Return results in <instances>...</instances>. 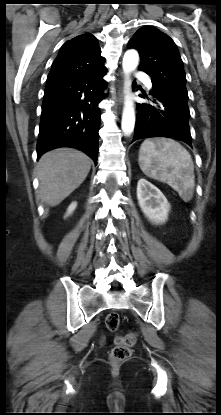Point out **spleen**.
Listing matches in <instances>:
<instances>
[{
  "label": "spleen",
  "mask_w": 221,
  "mask_h": 415,
  "mask_svg": "<svg viewBox=\"0 0 221 415\" xmlns=\"http://www.w3.org/2000/svg\"><path fill=\"white\" fill-rule=\"evenodd\" d=\"M139 166L150 178L165 182L185 202L193 197L194 165L190 153L173 139H146L139 149Z\"/></svg>",
  "instance_id": "obj_1"
}]
</instances>
